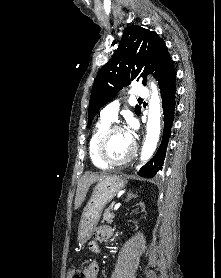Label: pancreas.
I'll return each instance as SVG.
<instances>
[{
  "label": "pancreas",
  "mask_w": 221,
  "mask_h": 278,
  "mask_svg": "<svg viewBox=\"0 0 221 278\" xmlns=\"http://www.w3.org/2000/svg\"><path fill=\"white\" fill-rule=\"evenodd\" d=\"M113 217H114V215L111 213L110 208H108L105 210V212L103 214L102 222L111 224L113 222Z\"/></svg>",
  "instance_id": "obj_1"
}]
</instances>
